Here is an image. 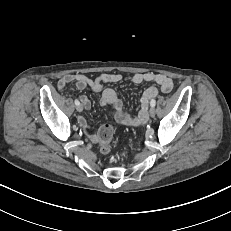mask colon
I'll list each match as a JSON object with an SVG mask.
<instances>
[{
	"label": "colon",
	"mask_w": 231,
	"mask_h": 231,
	"mask_svg": "<svg viewBox=\"0 0 231 231\" xmlns=\"http://www.w3.org/2000/svg\"><path fill=\"white\" fill-rule=\"evenodd\" d=\"M98 136H99L100 146H101L102 151L104 152L108 151L112 137H113L112 127L109 125L102 126L99 129Z\"/></svg>",
	"instance_id": "5ec220e1"
}]
</instances>
